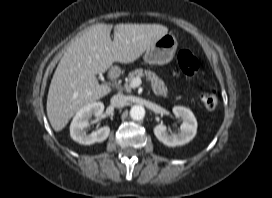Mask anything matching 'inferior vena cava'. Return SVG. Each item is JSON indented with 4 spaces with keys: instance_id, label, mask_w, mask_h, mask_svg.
<instances>
[{
    "instance_id": "602c4592",
    "label": "inferior vena cava",
    "mask_w": 272,
    "mask_h": 198,
    "mask_svg": "<svg viewBox=\"0 0 272 198\" xmlns=\"http://www.w3.org/2000/svg\"><path fill=\"white\" fill-rule=\"evenodd\" d=\"M110 102L114 107H121L127 102V98L123 94L118 93L111 98Z\"/></svg>"
}]
</instances>
